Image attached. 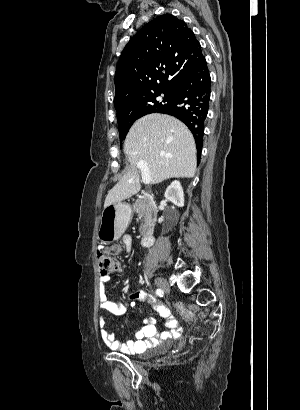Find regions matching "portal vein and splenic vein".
Instances as JSON below:
<instances>
[{"mask_svg":"<svg viewBox=\"0 0 300 410\" xmlns=\"http://www.w3.org/2000/svg\"><path fill=\"white\" fill-rule=\"evenodd\" d=\"M137 167L141 170L142 182L145 185L150 184L151 183V176H150L149 168L147 166V162L140 161V162H138Z\"/></svg>","mask_w":300,"mask_h":410,"instance_id":"1","label":"portal vein and splenic vein"}]
</instances>
